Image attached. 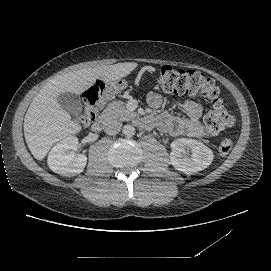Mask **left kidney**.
Returning a JSON list of instances; mask_svg holds the SVG:
<instances>
[{
  "mask_svg": "<svg viewBox=\"0 0 271 271\" xmlns=\"http://www.w3.org/2000/svg\"><path fill=\"white\" fill-rule=\"evenodd\" d=\"M170 161L178 171L190 175L207 168L213 160V152L194 139L179 138L171 143ZM188 152L191 153L188 156Z\"/></svg>",
  "mask_w": 271,
  "mask_h": 271,
  "instance_id": "1",
  "label": "left kidney"
}]
</instances>
